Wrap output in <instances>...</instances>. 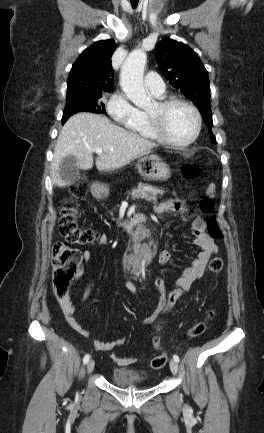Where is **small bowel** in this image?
<instances>
[{
    "label": "small bowel",
    "mask_w": 264,
    "mask_h": 433,
    "mask_svg": "<svg viewBox=\"0 0 264 433\" xmlns=\"http://www.w3.org/2000/svg\"><path fill=\"white\" fill-rule=\"evenodd\" d=\"M155 211L159 214L164 213H179L188 210V205L183 200H168L161 202L154 207ZM192 234L194 236V244L200 249L197 258L192 262V265L186 268L182 275L176 280V285L188 291L191 285L200 278L205 270L208 260L213 254L217 252V247L214 243L213 238L205 232V222L201 218H196L192 224ZM109 244L108 238L106 236L100 237L95 243L96 247L107 246ZM92 254L90 250H84L82 253V258L84 263H88L91 260ZM171 255L168 251L163 252L161 255V263L166 264L169 262ZM156 289L160 293V300L157 310L150 316L143 319L144 324H151L154 322L156 316L160 312V308L165 302L166 295V284L161 278H157L154 281ZM126 288L135 292V287L131 281L126 283ZM93 291V285H90L85 294V301H87ZM61 311L68 322V324L81 336L88 338L90 336V331L84 328L76 319L75 313L76 309L72 304L70 295L58 299ZM124 339H118L116 341H103L100 339H95L93 342L94 347L99 351L110 352L114 348L122 345ZM111 358L121 366L132 365L137 362V358H125L118 356L116 354H111Z\"/></svg>",
    "instance_id": "small-bowel-1"
}]
</instances>
